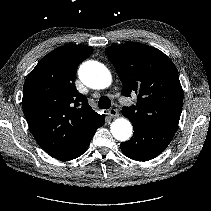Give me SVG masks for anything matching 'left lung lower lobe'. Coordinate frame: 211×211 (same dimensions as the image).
Here are the masks:
<instances>
[{
	"mask_svg": "<svg viewBox=\"0 0 211 211\" xmlns=\"http://www.w3.org/2000/svg\"><path fill=\"white\" fill-rule=\"evenodd\" d=\"M133 137L120 145L125 156L137 161H148L158 156L171 142L176 129L144 126L132 123Z\"/></svg>",
	"mask_w": 211,
	"mask_h": 211,
	"instance_id": "0a47b994",
	"label": "left lung lower lobe"
}]
</instances>
